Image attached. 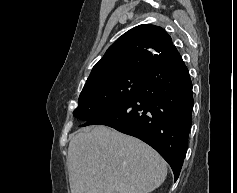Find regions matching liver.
I'll return each mask as SVG.
<instances>
[{
    "label": "liver",
    "mask_w": 237,
    "mask_h": 193,
    "mask_svg": "<svg viewBox=\"0 0 237 193\" xmlns=\"http://www.w3.org/2000/svg\"><path fill=\"white\" fill-rule=\"evenodd\" d=\"M67 162L71 193H150L167 176L153 148L103 125L73 135Z\"/></svg>",
    "instance_id": "obj_1"
}]
</instances>
